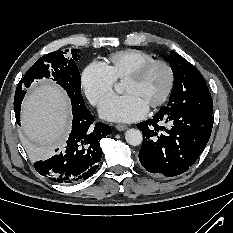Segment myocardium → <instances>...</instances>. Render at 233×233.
<instances>
[{
    "mask_svg": "<svg viewBox=\"0 0 233 233\" xmlns=\"http://www.w3.org/2000/svg\"><path fill=\"white\" fill-rule=\"evenodd\" d=\"M154 66H162L167 73V85L158 100L152 103L148 109H155L162 106L170 97L175 83V74L172 66L165 60L153 59L151 61L145 62L138 67H136L131 73H129L124 81H137L141 79L148 70H150Z\"/></svg>",
    "mask_w": 233,
    "mask_h": 233,
    "instance_id": "1",
    "label": "myocardium"
}]
</instances>
